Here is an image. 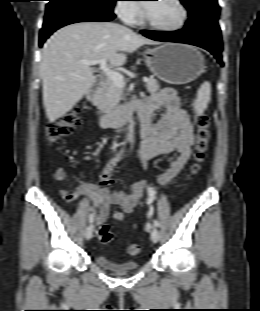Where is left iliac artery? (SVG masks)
I'll return each mask as SVG.
<instances>
[{"instance_id": "left-iliac-artery-1", "label": "left iliac artery", "mask_w": 260, "mask_h": 311, "mask_svg": "<svg viewBox=\"0 0 260 311\" xmlns=\"http://www.w3.org/2000/svg\"><path fill=\"white\" fill-rule=\"evenodd\" d=\"M151 202H152V200H149L148 201V204H151ZM154 225L156 226V227H159V222H158V220H154Z\"/></svg>"}]
</instances>
